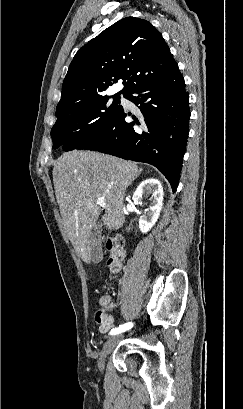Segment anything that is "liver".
Masks as SVG:
<instances>
[{
    "label": "liver",
    "mask_w": 243,
    "mask_h": 409,
    "mask_svg": "<svg viewBox=\"0 0 243 409\" xmlns=\"http://www.w3.org/2000/svg\"><path fill=\"white\" fill-rule=\"evenodd\" d=\"M140 174L136 163L90 151L63 153L53 169L56 199L68 238L85 261L91 257L90 237L100 215L98 198L106 204L103 224L109 230L125 222L126 189Z\"/></svg>",
    "instance_id": "obj_1"
}]
</instances>
